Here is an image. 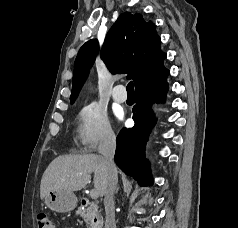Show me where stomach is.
Instances as JSON below:
<instances>
[{"instance_id": "stomach-1", "label": "stomach", "mask_w": 238, "mask_h": 228, "mask_svg": "<svg viewBox=\"0 0 238 228\" xmlns=\"http://www.w3.org/2000/svg\"><path fill=\"white\" fill-rule=\"evenodd\" d=\"M77 197L72 191H49L45 195L46 205L53 211L66 213L77 206Z\"/></svg>"}]
</instances>
